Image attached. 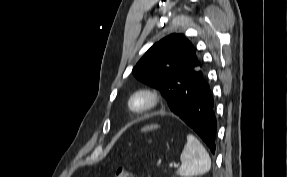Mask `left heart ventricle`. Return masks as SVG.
Returning a JSON list of instances; mask_svg holds the SVG:
<instances>
[{
	"label": "left heart ventricle",
	"instance_id": "left-heart-ventricle-1",
	"mask_svg": "<svg viewBox=\"0 0 287 177\" xmlns=\"http://www.w3.org/2000/svg\"><path fill=\"white\" fill-rule=\"evenodd\" d=\"M142 103H143L142 100H138V101H137V105H139V106L142 105Z\"/></svg>",
	"mask_w": 287,
	"mask_h": 177
}]
</instances>
